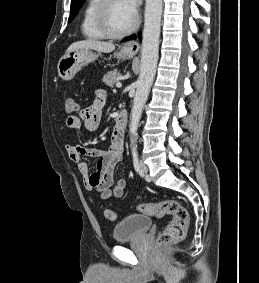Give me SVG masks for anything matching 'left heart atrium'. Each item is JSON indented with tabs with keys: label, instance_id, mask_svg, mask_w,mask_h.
<instances>
[{
	"label": "left heart atrium",
	"instance_id": "1",
	"mask_svg": "<svg viewBox=\"0 0 259 283\" xmlns=\"http://www.w3.org/2000/svg\"><path fill=\"white\" fill-rule=\"evenodd\" d=\"M126 7L135 15L140 0H124Z\"/></svg>",
	"mask_w": 259,
	"mask_h": 283
}]
</instances>
